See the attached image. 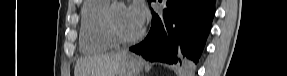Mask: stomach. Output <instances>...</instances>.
Masks as SVG:
<instances>
[{
	"label": "stomach",
	"mask_w": 287,
	"mask_h": 76,
	"mask_svg": "<svg viewBox=\"0 0 287 76\" xmlns=\"http://www.w3.org/2000/svg\"><path fill=\"white\" fill-rule=\"evenodd\" d=\"M143 65L132 55H126L115 76H138Z\"/></svg>",
	"instance_id": "stomach-1"
}]
</instances>
